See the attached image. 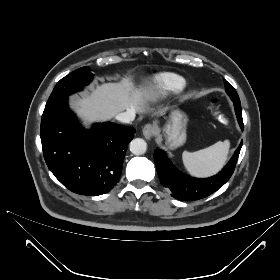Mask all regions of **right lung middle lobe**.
<instances>
[{
  "mask_svg": "<svg viewBox=\"0 0 280 280\" xmlns=\"http://www.w3.org/2000/svg\"><path fill=\"white\" fill-rule=\"evenodd\" d=\"M93 79L91 69L87 66L79 68L64 78H62L54 87L46 105L57 100L67 98L70 94L81 90Z\"/></svg>",
  "mask_w": 280,
  "mask_h": 280,
  "instance_id": "right-lung-middle-lobe-1",
  "label": "right lung middle lobe"
}]
</instances>
